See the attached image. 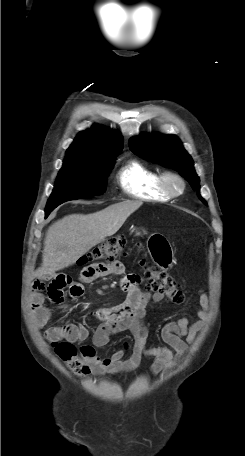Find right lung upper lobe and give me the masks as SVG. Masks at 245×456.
Listing matches in <instances>:
<instances>
[{
	"label": "right lung upper lobe",
	"mask_w": 245,
	"mask_h": 456,
	"mask_svg": "<svg viewBox=\"0 0 245 456\" xmlns=\"http://www.w3.org/2000/svg\"><path fill=\"white\" fill-rule=\"evenodd\" d=\"M123 149L122 137L99 125L81 132L67 149L64 163L98 162L117 155Z\"/></svg>",
	"instance_id": "cb5924a9"
}]
</instances>
